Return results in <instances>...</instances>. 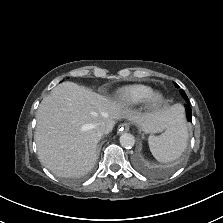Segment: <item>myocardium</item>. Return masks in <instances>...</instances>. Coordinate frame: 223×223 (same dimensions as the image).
<instances>
[{"mask_svg": "<svg viewBox=\"0 0 223 223\" xmlns=\"http://www.w3.org/2000/svg\"><path fill=\"white\" fill-rule=\"evenodd\" d=\"M164 101L162 93L158 91H151L144 100V104L148 109H155L159 107Z\"/></svg>", "mask_w": 223, "mask_h": 223, "instance_id": "myocardium-1", "label": "myocardium"}]
</instances>
